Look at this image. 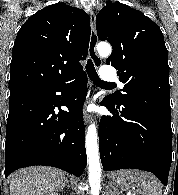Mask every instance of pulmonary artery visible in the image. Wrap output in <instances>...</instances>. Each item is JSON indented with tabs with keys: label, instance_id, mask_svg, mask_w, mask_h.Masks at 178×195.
<instances>
[{
	"label": "pulmonary artery",
	"instance_id": "e3ab8cb5",
	"mask_svg": "<svg viewBox=\"0 0 178 195\" xmlns=\"http://www.w3.org/2000/svg\"><path fill=\"white\" fill-rule=\"evenodd\" d=\"M100 76L105 81V83L110 84L116 81V75L111 66L104 65L100 68Z\"/></svg>",
	"mask_w": 178,
	"mask_h": 195
}]
</instances>
